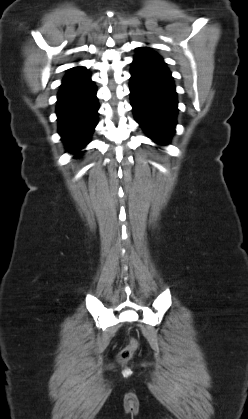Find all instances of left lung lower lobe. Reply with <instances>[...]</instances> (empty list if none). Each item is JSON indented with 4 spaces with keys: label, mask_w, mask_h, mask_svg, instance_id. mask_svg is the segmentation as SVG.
<instances>
[{
    "label": "left lung lower lobe",
    "mask_w": 248,
    "mask_h": 419,
    "mask_svg": "<svg viewBox=\"0 0 248 419\" xmlns=\"http://www.w3.org/2000/svg\"><path fill=\"white\" fill-rule=\"evenodd\" d=\"M130 91L135 120L149 138L168 144L177 123L175 85L162 58L149 48H140L134 57Z\"/></svg>",
    "instance_id": "0a47b994"
}]
</instances>
